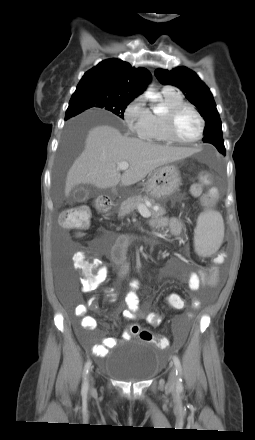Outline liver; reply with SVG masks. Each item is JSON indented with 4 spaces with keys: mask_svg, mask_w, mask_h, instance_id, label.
Returning a JSON list of instances; mask_svg holds the SVG:
<instances>
[{
    "mask_svg": "<svg viewBox=\"0 0 255 440\" xmlns=\"http://www.w3.org/2000/svg\"><path fill=\"white\" fill-rule=\"evenodd\" d=\"M196 149L156 145L123 136L116 128L102 125L92 128L85 148L68 171L65 195L80 184L100 189L133 185L165 164L191 156ZM129 168L121 175L118 163Z\"/></svg>",
    "mask_w": 255,
    "mask_h": 440,
    "instance_id": "6515ba94",
    "label": "liver"
}]
</instances>
